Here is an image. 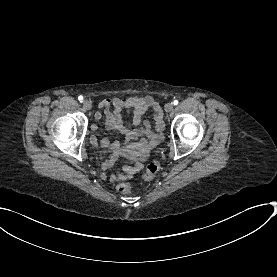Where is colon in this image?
<instances>
[{
  "instance_id": "colon-1",
  "label": "colon",
  "mask_w": 277,
  "mask_h": 277,
  "mask_svg": "<svg viewBox=\"0 0 277 277\" xmlns=\"http://www.w3.org/2000/svg\"><path fill=\"white\" fill-rule=\"evenodd\" d=\"M159 170L160 163L158 161H154L147 166L144 177L148 180H151L158 174ZM116 189L120 193H127L131 190V185L128 182H121L116 186Z\"/></svg>"
}]
</instances>
